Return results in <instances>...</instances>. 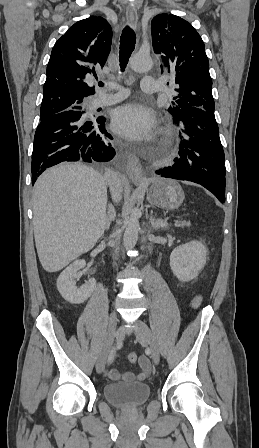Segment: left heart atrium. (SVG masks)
<instances>
[{"label": "left heart atrium", "mask_w": 259, "mask_h": 448, "mask_svg": "<svg viewBox=\"0 0 259 448\" xmlns=\"http://www.w3.org/2000/svg\"><path fill=\"white\" fill-rule=\"evenodd\" d=\"M115 132L132 140H143L152 135L156 127L154 112L140 102L125 104L115 110L112 117Z\"/></svg>", "instance_id": "obj_1"}]
</instances>
